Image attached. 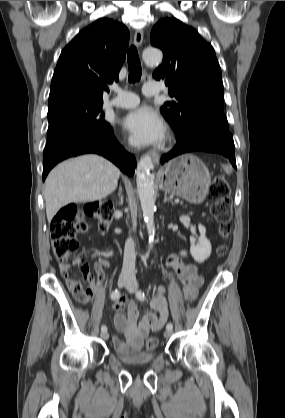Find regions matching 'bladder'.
<instances>
[{"label":"bladder","instance_id":"obj_1","mask_svg":"<svg viewBox=\"0 0 285 418\" xmlns=\"http://www.w3.org/2000/svg\"><path fill=\"white\" fill-rule=\"evenodd\" d=\"M114 354L118 360L129 366H144L152 364L156 359L154 351L151 352H121L114 349Z\"/></svg>","mask_w":285,"mask_h":418}]
</instances>
